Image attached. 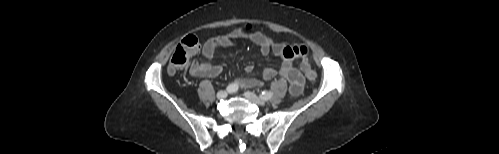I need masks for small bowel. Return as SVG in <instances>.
<instances>
[{
    "label": "small bowel",
    "instance_id": "1",
    "mask_svg": "<svg viewBox=\"0 0 499 154\" xmlns=\"http://www.w3.org/2000/svg\"><path fill=\"white\" fill-rule=\"evenodd\" d=\"M240 40H249L259 47L264 56L273 53L281 60L279 69L267 66L262 70V79L247 78L236 81L238 88L260 87L265 81L275 77H281L289 83V91L292 96H298L304 87V77L294 66V60L305 57L309 50L306 45H287L277 42L271 37L253 30L250 26H244L233 30L231 33L213 37L205 42L202 48L203 61H193L190 66L192 77H217L222 72V66L213 65L212 58L216 50L230 46ZM246 72L253 70L252 65L245 68Z\"/></svg>",
    "mask_w": 499,
    "mask_h": 154
}]
</instances>
